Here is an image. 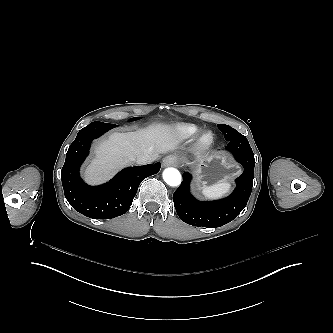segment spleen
Returning <instances> with one entry per match:
<instances>
[{
    "mask_svg": "<svg viewBox=\"0 0 333 333\" xmlns=\"http://www.w3.org/2000/svg\"><path fill=\"white\" fill-rule=\"evenodd\" d=\"M229 189V183H227L225 179H222L212 185L204 187V193L209 197H217L226 194Z\"/></svg>",
    "mask_w": 333,
    "mask_h": 333,
    "instance_id": "obj_1",
    "label": "spleen"
}]
</instances>
